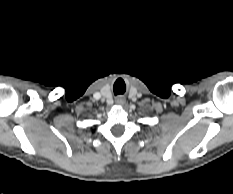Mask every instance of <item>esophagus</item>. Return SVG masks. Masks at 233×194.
I'll use <instances>...</instances> for the list:
<instances>
[{
  "mask_svg": "<svg viewBox=\"0 0 233 194\" xmlns=\"http://www.w3.org/2000/svg\"><path fill=\"white\" fill-rule=\"evenodd\" d=\"M124 102H125V99H124V98H122V97L116 98V103H117V104L123 105Z\"/></svg>",
  "mask_w": 233,
  "mask_h": 194,
  "instance_id": "esophagus-1",
  "label": "esophagus"
}]
</instances>
